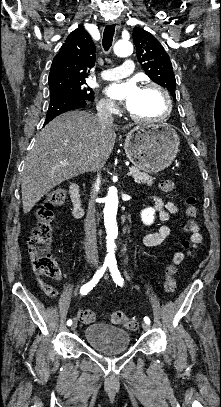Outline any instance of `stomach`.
Returning a JSON list of instances; mask_svg holds the SVG:
<instances>
[{"label": "stomach", "instance_id": "1", "mask_svg": "<svg viewBox=\"0 0 221 407\" xmlns=\"http://www.w3.org/2000/svg\"><path fill=\"white\" fill-rule=\"evenodd\" d=\"M179 145L178 134L170 125H137L127 134L124 149L136 168L158 173L170 166Z\"/></svg>", "mask_w": 221, "mask_h": 407}]
</instances>
